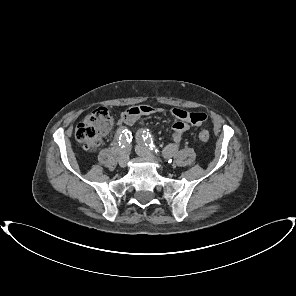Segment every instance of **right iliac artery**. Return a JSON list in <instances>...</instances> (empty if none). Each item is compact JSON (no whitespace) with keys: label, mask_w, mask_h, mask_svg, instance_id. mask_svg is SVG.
Listing matches in <instances>:
<instances>
[{"label":"right iliac artery","mask_w":296,"mask_h":296,"mask_svg":"<svg viewBox=\"0 0 296 296\" xmlns=\"http://www.w3.org/2000/svg\"><path fill=\"white\" fill-rule=\"evenodd\" d=\"M125 130L124 128L122 129H119L118 132H117V135H116V139H117V143L119 145V148L122 150V149H125Z\"/></svg>","instance_id":"1"}]
</instances>
